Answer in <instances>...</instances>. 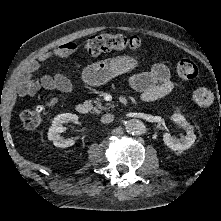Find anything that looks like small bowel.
Listing matches in <instances>:
<instances>
[{
	"instance_id": "obj_1",
	"label": "small bowel",
	"mask_w": 221,
	"mask_h": 221,
	"mask_svg": "<svg viewBox=\"0 0 221 221\" xmlns=\"http://www.w3.org/2000/svg\"><path fill=\"white\" fill-rule=\"evenodd\" d=\"M76 48L74 43H65L28 62L19 75L20 93L35 96L41 88L64 93L71 92L74 83L63 74L46 75L40 79H34L33 74L39 69L41 63L50 58L69 56L76 51ZM129 83L141 93V99L148 102L161 99L175 89V82L170 76L168 67L161 62L155 63L148 72L132 75ZM50 103L57 104L58 98L52 97Z\"/></svg>"
}]
</instances>
